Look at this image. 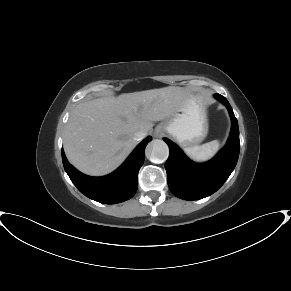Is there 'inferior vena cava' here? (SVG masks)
Returning <instances> with one entry per match:
<instances>
[{
  "label": "inferior vena cava",
  "mask_w": 291,
  "mask_h": 291,
  "mask_svg": "<svg viewBox=\"0 0 291 291\" xmlns=\"http://www.w3.org/2000/svg\"><path fill=\"white\" fill-rule=\"evenodd\" d=\"M146 137V133L144 131H137L134 133L133 139L135 141H141Z\"/></svg>",
  "instance_id": "1"
}]
</instances>
